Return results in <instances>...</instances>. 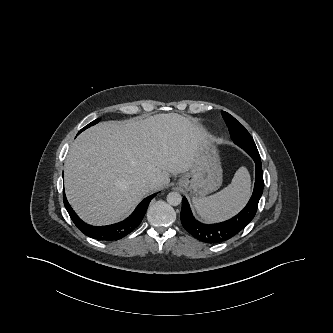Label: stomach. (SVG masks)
<instances>
[{
  "instance_id": "stomach-1",
  "label": "stomach",
  "mask_w": 333,
  "mask_h": 333,
  "mask_svg": "<svg viewBox=\"0 0 333 333\" xmlns=\"http://www.w3.org/2000/svg\"><path fill=\"white\" fill-rule=\"evenodd\" d=\"M221 183L222 168L217 149L208 140L200 146L192 168L178 180V185L194 199L216 191Z\"/></svg>"
}]
</instances>
